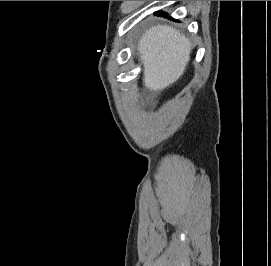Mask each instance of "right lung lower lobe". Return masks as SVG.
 Returning <instances> with one entry per match:
<instances>
[{
	"label": "right lung lower lobe",
	"mask_w": 271,
	"mask_h": 266,
	"mask_svg": "<svg viewBox=\"0 0 271 266\" xmlns=\"http://www.w3.org/2000/svg\"><path fill=\"white\" fill-rule=\"evenodd\" d=\"M156 15H164L166 16V14H164L163 12H158V13H155Z\"/></svg>",
	"instance_id": "1"
}]
</instances>
